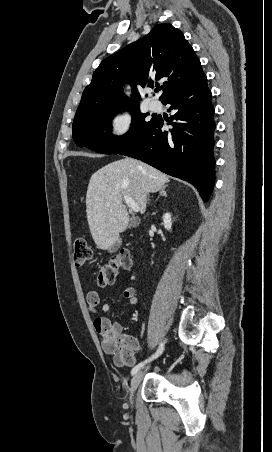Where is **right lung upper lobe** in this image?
Returning <instances> with one entry per match:
<instances>
[{
    "label": "right lung upper lobe",
    "instance_id": "cb5924a9",
    "mask_svg": "<svg viewBox=\"0 0 272 452\" xmlns=\"http://www.w3.org/2000/svg\"><path fill=\"white\" fill-rule=\"evenodd\" d=\"M204 76L200 61L182 32L171 24H158L148 35L100 63L83 92L75 117L97 109L139 104L136 84L144 87L148 81V87H152L154 81L165 80L160 96L163 102ZM125 82L133 88L131 98L123 93Z\"/></svg>",
    "mask_w": 272,
    "mask_h": 452
}]
</instances>
